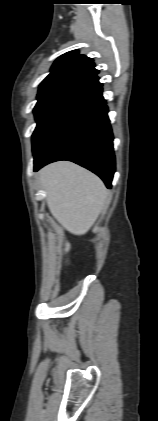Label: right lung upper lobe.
Listing matches in <instances>:
<instances>
[{"label": "right lung upper lobe", "instance_id": "obj_1", "mask_svg": "<svg viewBox=\"0 0 158 421\" xmlns=\"http://www.w3.org/2000/svg\"><path fill=\"white\" fill-rule=\"evenodd\" d=\"M93 60L79 54L78 50L67 52L56 59L50 74L41 82L39 90L61 84L82 86L97 76Z\"/></svg>", "mask_w": 158, "mask_h": 421}]
</instances>
